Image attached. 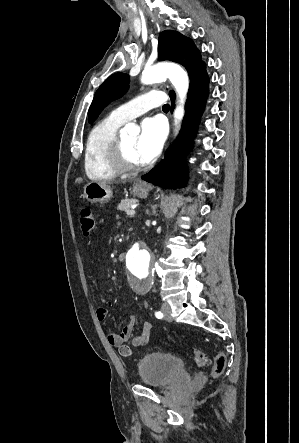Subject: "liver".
Returning a JSON list of instances; mask_svg holds the SVG:
<instances>
[{
	"label": "liver",
	"mask_w": 299,
	"mask_h": 443,
	"mask_svg": "<svg viewBox=\"0 0 299 443\" xmlns=\"http://www.w3.org/2000/svg\"><path fill=\"white\" fill-rule=\"evenodd\" d=\"M99 184H102V185H107V183H106V182H99Z\"/></svg>",
	"instance_id": "1"
}]
</instances>
